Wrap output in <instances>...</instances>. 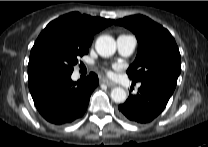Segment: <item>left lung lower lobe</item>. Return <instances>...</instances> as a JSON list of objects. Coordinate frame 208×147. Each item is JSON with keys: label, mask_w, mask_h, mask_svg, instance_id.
<instances>
[{"label": "left lung lower lobe", "mask_w": 208, "mask_h": 147, "mask_svg": "<svg viewBox=\"0 0 208 147\" xmlns=\"http://www.w3.org/2000/svg\"><path fill=\"white\" fill-rule=\"evenodd\" d=\"M175 87L160 79L141 81L136 95H130L119 112L125 120L147 123L156 118L166 107Z\"/></svg>", "instance_id": "1"}]
</instances>
